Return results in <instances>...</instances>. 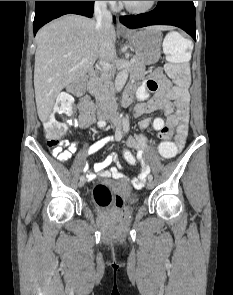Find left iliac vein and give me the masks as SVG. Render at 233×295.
<instances>
[{
	"instance_id": "left-iliac-vein-1",
	"label": "left iliac vein",
	"mask_w": 233,
	"mask_h": 295,
	"mask_svg": "<svg viewBox=\"0 0 233 295\" xmlns=\"http://www.w3.org/2000/svg\"><path fill=\"white\" fill-rule=\"evenodd\" d=\"M148 189H152L153 188V182L151 180H149L146 184Z\"/></svg>"
}]
</instances>
